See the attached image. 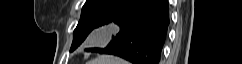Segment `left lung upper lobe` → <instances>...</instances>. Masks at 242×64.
<instances>
[{
  "label": "left lung upper lobe",
  "instance_id": "5c2ea615",
  "mask_svg": "<svg viewBox=\"0 0 242 64\" xmlns=\"http://www.w3.org/2000/svg\"><path fill=\"white\" fill-rule=\"evenodd\" d=\"M123 0H87L82 8L81 18L74 30L70 51H74L88 34L97 28L101 20Z\"/></svg>",
  "mask_w": 242,
  "mask_h": 64
}]
</instances>
